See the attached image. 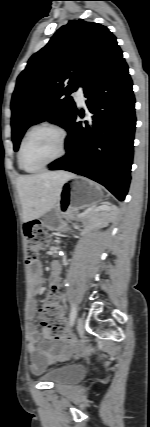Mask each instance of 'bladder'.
I'll return each instance as SVG.
<instances>
[{"instance_id": "bladder-1", "label": "bladder", "mask_w": 150, "mask_h": 427, "mask_svg": "<svg viewBox=\"0 0 150 427\" xmlns=\"http://www.w3.org/2000/svg\"><path fill=\"white\" fill-rule=\"evenodd\" d=\"M82 368L77 365H67L48 372L45 379L54 385H64L78 379Z\"/></svg>"}]
</instances>
